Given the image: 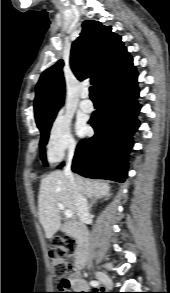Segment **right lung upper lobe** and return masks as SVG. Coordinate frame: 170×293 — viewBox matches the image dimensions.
Returning <instances> with one entry per match:
<instances>
[{
  "label": "right lung upper lobe",
  "instance_id": "right-lung-upper-lobe-1",
  "mask_svg": "<svg viewBox=\"0 0 170 293\" xmlns=\"http://www.w3.org/2000/svg\"><path fill=\"white\" fill-rule=\"evenodd\" d=\"M63 64L60 60L45 70L36 85L34 112L39 129L52 123L63 105ZM70 66L80 81L89 77L97 91L134 67L121 37L94 20L83 22L80 36L72 44Z\"/></svg>",
  "mask_w": 170,
  "mask_h": 293
}]
</instances>
